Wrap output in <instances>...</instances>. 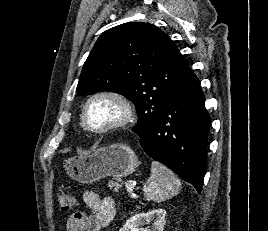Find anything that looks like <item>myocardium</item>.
Returning a JSON list of instances; mask_svg holds the SVG:
<instances>
[{
    "instance_id": "1",
    "label": "myocardium",
    "mask_w": 268,
    "mask_h": 231,
    "mask_svg": "<svg viewBox=\"0 0 268 231\" xmlns=\"http://www.w3.org/2000/svg\"><path fill=\"white\" fill-rule=\"evenodd\" d=\"M97 99H111L115 101L120 106V116L116 120L99 127H94L90 125L87 119V111L90 104ZM134 115V105L128 97L117 91L101 90L91 94L87 98L81 112V119L82 125L88 132L93 134H105L111 131L124 128L125 126L130 124V122H132V120L134 119Z\"/></svg>"
}]
</instances>
